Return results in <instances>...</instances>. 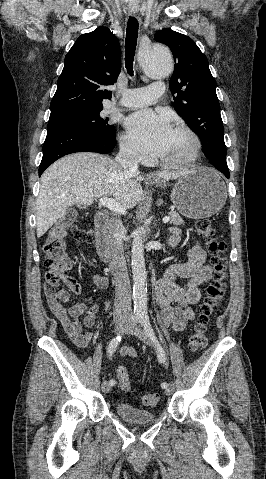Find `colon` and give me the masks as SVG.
Listing matches in <instances>:
<instances>
[{"mask_svg": "<svg viewBox=\"0 0 266 479\" xmlns=\"http://www.w3.org/2000/svg\"><path fill=\"white\" fill-rule=\"evenodd\" d=\"M76 213L70 211L49 231L45 244V287L48 291L55 289L63 274L70 267V259L67 255L65 237L67 230L71 228L73 236L80 242H87L92 239L90 230L81 229L74 225ZM198 235L204 239L207 250L211 256L213 266V277L207 287L205 298L200 306L199 314L189 338L188 346L193 352L204 349L207 345V331L210 320L223 298L226 280V260L224 257L225 243L217 237L215 229L208 219H200L196 223ZM117 377L119 386L124 391L131 389L129 373L126 367L118 368ZM159 399L156 393H146L142 396V403L147 406H154Z\"/></svg>", "mask_w": 266, "mask_h": 479, "instance_id": "colon-1", "label": "colon"}]
</instances>
